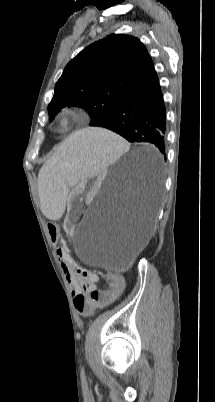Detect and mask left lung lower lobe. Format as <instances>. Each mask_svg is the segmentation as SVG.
<instances>
[{"instance_id": "obj_1", "label": "left lung lower lobe", "mask_w": 215, "mask_h": 402, "mask_svg": "<svg viewBox=\"0 0 215 402\" xmlns=\"http://www.w3.org/2000/svg\"><path fill=\"white\" fill-rule=\"evenodd\" d=\"M97 126L112 130L129 142L153 144L166 159V109L155 69ZM157 191L154 186L145 192L151 210L155 208Z\"/></svg>"}]
</instances>
